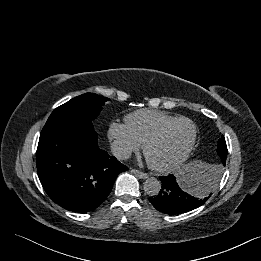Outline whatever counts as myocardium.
<instances>
[{"mask_svg": "<svg viewBox=\"0 0 261 261\" xmlns=\"http://www.w3.org/2000/svg\"><path fill=\"white\" fill-rule=\"evenodd\" d=\"M188 122L189 124H191L192 128H193V133H192V138L187 146V148L185 149V151L183 152V154L174 162L170 163V164H166V165H157L152 163L149 158H148V151L150 149V147L155 144L157 141H159L161 139V137L164 135V133L170 128L172 127L174 124L179 123V122ZM197 134H198V129H197V125L195 124L194 121H192L191 119L187 118V117H176L173 120L166 122L165 124H163L162 126H160L143 144V153L144 156L147 160V163L149 165V167L159 173H168L171 172L175 169H177L179 166H181L190 156L191 152L194 149V146L196 144V140H197Z\"/></svg>", "mask_w": 261, "mask_h": 261, "instance_id": "1", "label": "myocardium"}]
</instances>
